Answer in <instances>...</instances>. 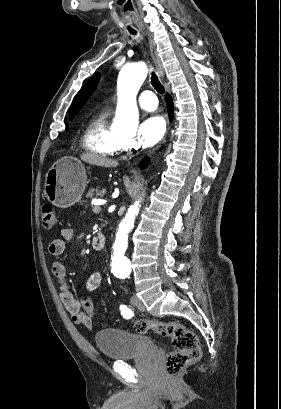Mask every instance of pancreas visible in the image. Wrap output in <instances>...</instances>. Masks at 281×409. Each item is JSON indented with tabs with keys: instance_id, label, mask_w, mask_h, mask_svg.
Segmentation results:
<instances>
[{
	"instance_id": "pancreas-1",
	"label": "pancreas",
	"mask_w": 281,
	"mask_h": 409,
	"mask_svg": "<svg viewBox=\"0 0 281 409\" xmlns=\"http://www.w3.org/2000/svg\"><path fill=\"white\" fill-rule=\"evenodd\" d=\"M104 194H106V188H100V186H96V188H90L85 196L86 198H102Z\"/></svg>"
}]
</instances>
